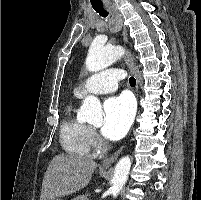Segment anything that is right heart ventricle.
I'll list each match as a JSON object with an SVG mask.
<instances>
[{
    "mask_svg": "<svg viewBox=\"0 0 201 200\" xmlns=\"http://www.w3.org/2000/svg\"><path fill=\"white\" fill-rule=\"evenodd\" d=\"M60 140L65 151L70 154L87 155L90 152L89 127L75 114L74 102L69 103L65 109Z\"/></svg>",
    "mask_w": 201,
    "mask_h": 200,
    "instance_id": "e07e8e85",
    "label": "right heart ventricle"
}]
</instances>
